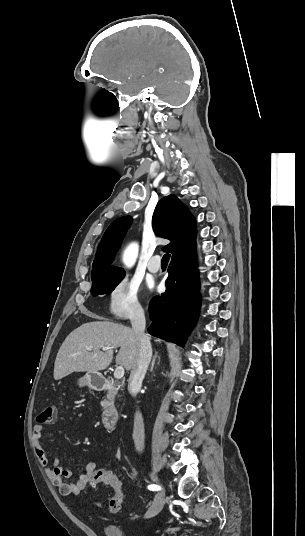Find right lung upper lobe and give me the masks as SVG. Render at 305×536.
Instances as JSON below:
<instances>
[{
	"mask_svg": "<svg viewBox=\"0 0 305 536\" xmlns=\"http://www.w3.org/2000/svg\"><path fill=\"white\" fill-rule=\"evenodd\" d=\"M131 223V217L115 220L105 231L93 262L92 280L112 278L125 274L122 268L110 265ZM196 221L193 215L175 195L162 198L154 211V232L171 243L163 248L172 253V259L181 257L196 247Z\"/></svg>",
	"mask_w": 305,
	"mask_h": 536,
	"instance_id": "right-lung-upper-lobe-1",
	"label": "right lung upper lobe"
}]
</instances>
